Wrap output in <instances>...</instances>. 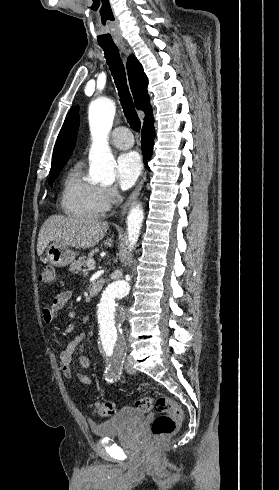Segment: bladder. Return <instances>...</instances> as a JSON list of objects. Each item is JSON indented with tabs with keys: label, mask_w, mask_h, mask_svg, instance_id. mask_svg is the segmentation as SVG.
Masks as SVG:
<instances>
[{
	"label": "bladder",
	"mask_w": 279,
	"mask_h": 490,
	"mask_svg": "<svg viewBox=\"0 0 279 490\" xmlns=\"http://www.w3.org/2000/svg\"><path fill=\"white\" fill-rule=\"evenodd\" d=\"M145 418V413L136 407L122 406L113 416L102 422L91 424V431L95 437H112L121 432H131Z\"/></svg>",
	"instance_id": "obj_1"
}]
</instances>
